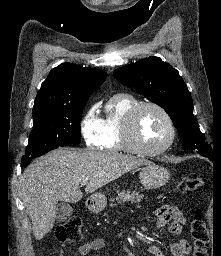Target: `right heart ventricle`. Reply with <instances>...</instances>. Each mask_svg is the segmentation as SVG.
Listing matches in <instances>:
<instances>
[{
    "mask_svg": "<svg viewBox=\"0 0 221 256\" xmlns=\"http://www.w3.org/2000/svg\"><path fill=\"white\" fill-rule=\"evenodd\" d=\"M139 103L129 93H117L110 97L105 106L102 118L103 139L101 147L110 152H133L124 142L123 127L131 108Z\"/></svg>",
    "mask_w": 221,
    "mask_h": 256,
    "instance_id": "1",
    "label": "right heart ventricle"
}]
</instances>
